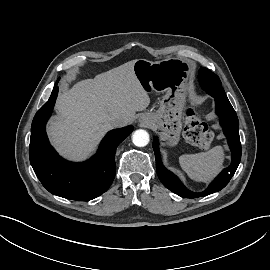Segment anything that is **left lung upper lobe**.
<instances>
[{
    "mask_svg": "<svg viewBox=\"0 0 270 270\" xmlns=\"http://www.w3.org/2000/svg\"><path fill=\"white\" fill-rule=\"evenodd\" d=\"M199 81L202 88L214 98L228 99L221 85L219 77L207 68L201 67Z\"/></svg>",
    "mask_w": 270,
    "mask_h": 270,
    "instance_id": "left-lung-upper-lobe-1",
    "label": "left lung upper lobe"
}]
</instances>
